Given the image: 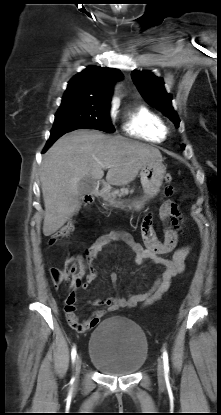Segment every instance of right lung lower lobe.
<instances>
[{
  "mask_svg": "<svg viewBox=\"0 0 221 415\" xmlns=\"http://www.w3.org/2000/svg\"><path fill=\"white\" fill-rule=\"evenodd\" d=\"M60 136H62V134H58V135H51L50 139L48 140V142L46 143V146L43 150V152H45Z\"/></svg>",
  "mask_w": 221,
  "mask_h": 415,
  "instance_id": "obj_1",
  "label": "right lung lower lobe"
}]
</instances>
